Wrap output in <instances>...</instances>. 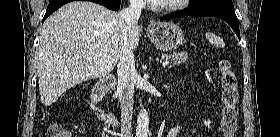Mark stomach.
Listing matches in <instances>:
<instances>
[{"label":"stomach","instance_id":"obj_1","mask_svg":"<svg viewBox=\"0 0 280 137\" xmlns=\"http://www.w3.org/2000/svg\"><path fill=\"white\" fill-rule=\"evenodd\" d=\"M147 34L157 49L166 52L176 50L184 41L182 30L173 22L153 24Z\"/></svg>","mask_w":280,"mask_h":137}]
</instances>
